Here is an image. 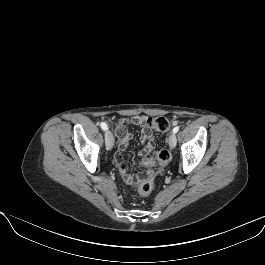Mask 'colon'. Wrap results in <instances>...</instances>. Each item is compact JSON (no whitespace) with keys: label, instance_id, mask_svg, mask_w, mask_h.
<instances>
[{"label":"colon","instance_id":"colon-1","mask_svg":"<svg viewBox=\"0 0 265 265\" xmlns=\"http://www.w3.org/2000/svg\"><path fill=\"white\" fill-rule=\"evenodd\" d=\"M142 124L158 132H167L170 128L168 119L163 116L147 117L142 121ZM170 157V152L166 148H160L155 150L149 157H146L143 160V165L146 168L161 167L170 160ZM152 189L153 182L150 177V171L148 170L146 175L139 179L138 190L141 194L146 195L150 193Z\"/></svg>","mask_w":265,"mask_h":265}]
</instances>
